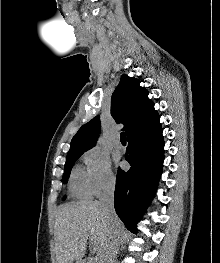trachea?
<instances>
[{
  "mask_svg": "<svg viewBox=\"0 0 220 263\" xmlns=\"http://www.w3.org/2000/svg\"><path fill=\"white\" fill-rule=\"evenodd\" d=\"M120 139H121V142H122V143L126 142V133H125V132H122V133L120 134Z\"/></svg>",
  "mask_w": 220,
  "mask_h": 263,
  "instance_id": "1",
  "label": "trachea"
}]
</instances>
